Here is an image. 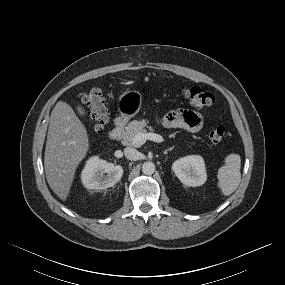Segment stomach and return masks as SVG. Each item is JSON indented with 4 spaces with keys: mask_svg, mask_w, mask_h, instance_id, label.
<instances>
[{
    "mask_svg": "<svg viewBox=\"0 0 285 285\" xmlns=\"http://www.w3.org/2000/svg\"><path fill=\"white\" fill-rule=\"evenodd\" d=\"M142 107V94L139 91L127 90L118 100V109L124 119L135 116Z\"/></svg>",
    "mask_w": 285,
    "mask_h": 285,
    "instance_id": "0dacf381",
    "label": "stomach"
}]
</instances>
